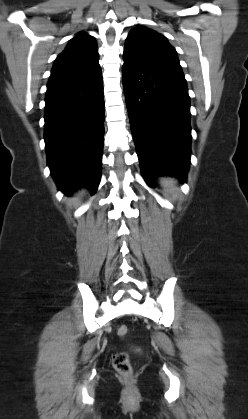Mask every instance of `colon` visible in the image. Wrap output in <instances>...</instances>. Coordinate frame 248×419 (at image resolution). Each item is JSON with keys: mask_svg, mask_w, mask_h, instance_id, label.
Returning <instances> with one entry per match:
<instances>
[{"mask_svg": "<svg viewBox=\"0 0 248 419\" xmlns=\"http://www.w3.org/2000/svg\"><path fill=\"white\" fill-rule=\"evenodd\" d=\"M128 328L124 325L117 328V334L120 337H126L128 335ZM113 367L122 376L130 377L132 373V367L130 358L126 352H118L113 356Z\"/></svg>", "mask_w": 248, "mask_h": 419, "instance_id": "colon-1", "label": "colon"}]
</instances>
